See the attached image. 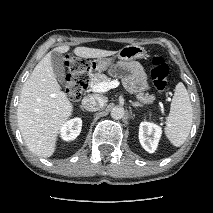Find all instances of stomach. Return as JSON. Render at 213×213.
<instances>
[{
    "instance_id": "obj_1",
    "label": "stomach",
    "mask_w": 213,
    "mask_h": 213,
    "mask_svg": "<svg viewBox=\"0 0 213 213\" xmlns=\"http://www.w3.org/2000/svg\"><path fill=\"white\" fill-rule=\"evenodd\" d=\"M146 50L139 45H127L117 52L116 57L123 62L133 61L136 59L144 58ZM114 62L113 58H99L90 62L89 74L95 75L102 71L108 70Z\"/></svg>"
}]
</instances>
